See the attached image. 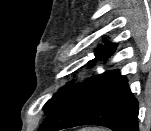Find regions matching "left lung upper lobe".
Masks as SVG:
<instances>
[{
	"mask_svg": "<svg viewBox=\"0 0 151 131\" xmlns=\"http://www.w3.org/2000/svg\"><path fill=\"white\" fill-rule=\"evenodd\" d=\"M117 45L116 44H107L106 46H100L98 50L95 51V59L90 60L88 62V66H93L94 61L96 59H106L107 57H110L116 50ZM75 81L69 82L67 85H65L63 88H61L56 94L53 95V97L46 102V104L43 106V111L48 115L53 110H55L61 102L64 100L65 95L69 91V89L74 85Z\"/></svg>",
	"mask_w": 151,
	"mask_h": 131,
	"instance_id": "5c2ea615",
	"label": "left lung upper lobe"
}]
</instances>
